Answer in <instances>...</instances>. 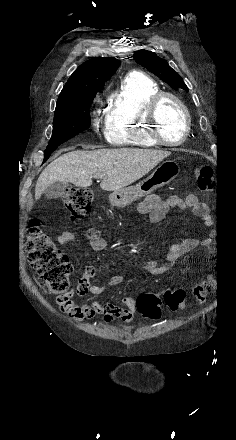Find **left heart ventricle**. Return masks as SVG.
I'll use <instances>...</instances> for the list:
<instances>
[{
	"label": "left heart ventricle",
	"instance_id": "obj_1",
	"mask_svg": "<svg viewBox=\"0 0 236 440\" xmlns=\"http://www.w3.org/2000/svg\"><path fill=\"white\" fill-rule=\"evenodd\" d=\"M160 130L166 140L176 141L184 132L185 119L179 105L172 99H165L158 110Z\"/></svg>",
	"mask_w": 236,
	"mask_h": 440
}]
</instances>
